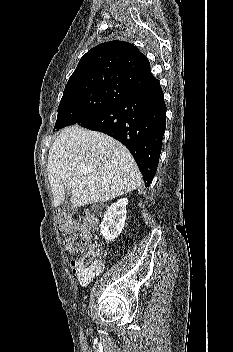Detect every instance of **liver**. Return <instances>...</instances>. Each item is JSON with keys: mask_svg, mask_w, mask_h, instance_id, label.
<instances>
[{"mask_svg": "<svg viewBox=\"0 0 233 352\" xmlns=\"http://www.w3.org/2000/svg\"><path fill=\"white\" fill-rule=\"evenodd\" d=\"M53 205L66 189L70 202L81 207L127 194L141 184L140 171L128 149L101 132L67 127L50 147L47 165Z\"/></svg>", "mask_w": 233, "mask_h": 352, "instance_id": "liver-1", "label": "liver"}]
</instances>
